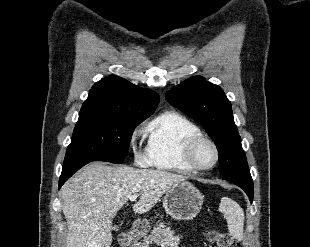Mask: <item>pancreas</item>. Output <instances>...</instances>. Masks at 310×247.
<instances>
[{
	"instance_id": "pancreas-1",
	"label": "pancreas",
	"mask_w": 310,
	"mask_h": 247,
	"mask_svg": "<svg viewBox=\"0 0 310 247\" xmlns=\"http://www.w3.org/2000/svg\"><path fill=\"white\" fill-rule=\"evenodd\" d=\"M174 233L169 227L160 224L153 228L149 236H144L142 243H138L137 247H149L153 243L162 247H178L181 237Z\"/></svg>"
}]
</instances>
